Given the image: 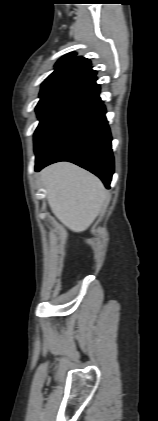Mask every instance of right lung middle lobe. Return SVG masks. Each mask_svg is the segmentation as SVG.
<instances>
[{"label":"right lung middle lobe","mask_w":158,"mask_h":421,"mask_svg":"<svg viewBox=\"0 0 158 421\" xmlns=\"http://www.w3.org/2000/svg\"><path fill=\"white\" fill-rule=\"evenodd\" d=\"M79 89V86L72 84L41 89L40 101L36 106V112L40 122L34 134L35 151L45 139L62 107Z\"/></svg>","instance_id":"right-lung-middle-lobe-1"}]
</instances>
